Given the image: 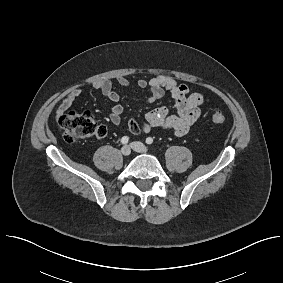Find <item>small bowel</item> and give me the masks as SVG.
<instances>
[{"label":"small bowel","mask_w":283,"mask_h":283,"mask_svg":"<svg viewBox=\"0 0 283 283\" xmlns=\"http://www.w3.org/2000/svg\"><path fill=\"white\" fill-rule=\"evenodd\" d=\"M117 83L125 88L129 82L124 77H119ZM140 89H148L149 94L145 99L146 103H154L160 100L165 93L172 97L176 113L169 114L166 106H159L151 109L145 115V123L140 125L135 119L128 121V129L134 134L149 133L153 129H160L173 133L176 136H183L189 132L192 125L200 117V107L204 101L200 93L192 92L189 86L179 83L173 77L157 75L149 80L140 79L137 82ZM94 88L101 92L110 102L113 103L109 121L119 125L124 111L119 103L120 97L110 81H99ZM82 95L81 89H74L60 103L57 114H61L72 107L74 101Z\"/></svg>","instance_id":"c3829d8e"}]
</instances>
